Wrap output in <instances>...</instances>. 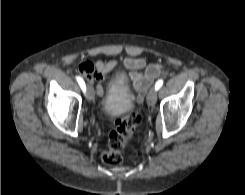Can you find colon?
Returning a JSON list of instances; mask_svg holds the SVG:
<instances>
[{
	"label": "colon",
	"instance_id": "5ec220e1",
	"mask_svg": "<svg viewBox=\"0 0 245 195\" xmlns=\"http://www.w3.org/2000/svg\"><path fill=\"white\" fill-rule=\"evenodd\" d=\"M140 123V115L132 113L114 123L109 133L106 148L101 152L104 163L116 166L119 165L124 156L125 143L134 134Z\"/></svg>",
	"mask_w": 245,
	"mask_h": 195
}]
</instances>
